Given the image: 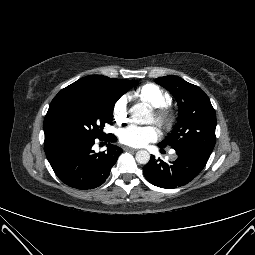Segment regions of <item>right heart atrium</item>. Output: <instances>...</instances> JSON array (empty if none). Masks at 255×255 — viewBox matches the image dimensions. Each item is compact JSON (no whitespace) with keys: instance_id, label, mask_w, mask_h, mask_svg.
I'll return each mask as SVG.
<instances>
[{"instance_id":"obj_1","label":"right heart atrium","mask_w":255,"mask_h":255,"mask_svg":"<svg viewBox=\"0 0 255 255\" xmlns=\"http://www.w3.org/2000/svg\"><path fill=\"white\" fill-rule=\"evenodd\" d=\"M112 115L114 120L121 124L125 121L127 115V100L125 97L119 98L113 105Z\"/></svg>"}]
</instances>
